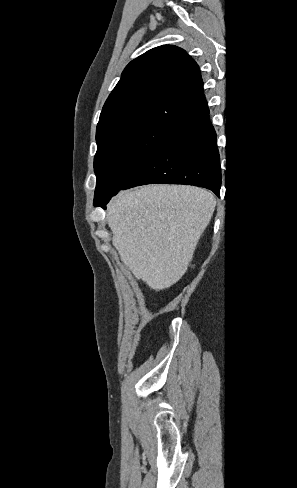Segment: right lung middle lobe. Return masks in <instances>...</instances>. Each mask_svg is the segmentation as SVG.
Instances as JSON below:
<instances>
[{
  "label": "right lung middle lobe",
  "instance_id": "obj_1",
  "mask_svg": "<svg viewBox=\"0 0 297 488\" xmlns=\"http://www.w3.org/2000/svg\"><path fill=\"white\" fill-rule=\"evenodd\" d=\"M170 131L155 126L136 127L98 143L94 157V206L108 202L120 191Z\"/></svg>",
  "mask_w": 297,
  "mask_h": 488
}]
</instances>
